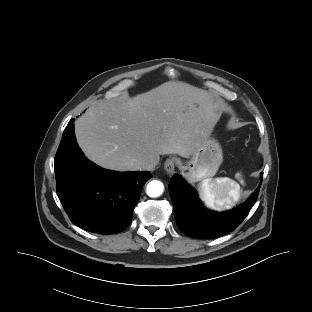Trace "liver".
<instances>
[{"mask_svg": "<svg viewBox=\"0 0 312 312\" xmlns=\"http://www.w3.org/2000/svg\"><path fill=\"white\" fill-rule=\"evenodd\" d=\"M222 115L206 90L166 82L126 102L100 100L75 121L77 142L88 159L116 171H138L160 155L189 158L210 137Z\"/></svg>", "mask_w": 312, "mask_h": 312, "instance_id": "obj_1", "label": "liver"}]
</instances>
